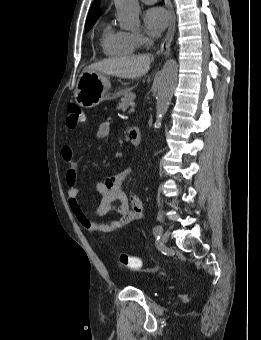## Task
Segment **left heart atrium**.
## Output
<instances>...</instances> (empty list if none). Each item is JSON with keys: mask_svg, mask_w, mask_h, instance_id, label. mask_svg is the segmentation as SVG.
<instances>
[{"mask_svg": "<svg viewBox=\"0 0 261 340\" xmlns=\"http://www.w3.org/2000/svg\"><path fill=\"white\" fill-rule=\"evenodd\" d=\"M170 21L169 13L162 7H152L144 15L146 31L151 37H158Z\"/></svg>", "mask_w": 261, "mask_h": 340, "instance_id": "39dd6f15", "label": "left heart atrium"}]
</instances>
